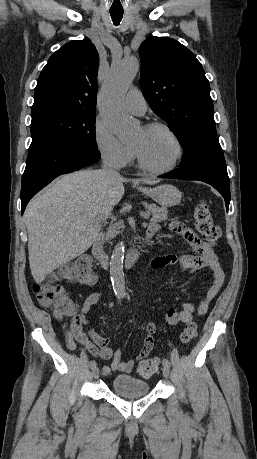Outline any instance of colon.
Here are the masks:
<instances>
[{"mask_svg": "<svg viewBox=\"0 0 257 459\" xmlns=\"http://www.w3.org/2000/svg\"><path fill=\"white\" fill-rule=\"evenodd\" d=\"M194 221L198 232L203 239L215 244L220 237V230L214 225L209 203L200 199L194 210ZM66 279L76 282L92 283L95 275L91 270V259L88 256H80L77 259L65 263L47 279L33 284V291L40 305L52 308L58 317L76 318L78 306L67 295L66 290L57 282ZM197 337V327L193 323L187 324L180 335L183 343H189ZM159 367V359L151 357L140 362L138 373L145 378L151 377Z\"/></svg>", "mask_w": 257, "mask_h": 459, "instance_id": "colon-1", "label": "colon"}]
</instances>
